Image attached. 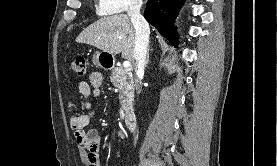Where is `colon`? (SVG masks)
I'll return each instance as SVG.
<instances>
[{"label": "colon", "mask_w": 277, "mask_h": 166, "mask_svg": "<svg viewBox=\"0 0 277 166\" xmlns=\"http://www.w3.org/2000/svg\"><path fill=\"white\" fill-rule=\"evenodd\" d=\"M87 61L83 56H77L71 61V69L78 76H82L86 73Z\"/></svg>", "instance_id": "5ec220e1"}]
</instances>
